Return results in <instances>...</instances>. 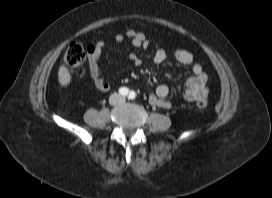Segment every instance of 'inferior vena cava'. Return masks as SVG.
Here are the masks:
<instances>
[{
    "instance_id": "1",
    "label": "inferior vena cava",
    "mask_w": 272,
    "mask_h": 198,
    "mask_svg": "<svg viewBox=\"0 0 272 198\" xmlns=\"http://www.w3.org/2000/svg\"><path fill=\"white\" fill-rule=\"evenodd\" d=\"M124 101L125 97L117 93L112 94L109 98V102L111 105H118L123 103Z\"/></svg>"
}]
</instances>
